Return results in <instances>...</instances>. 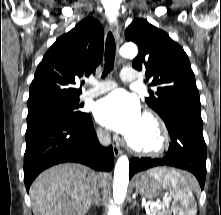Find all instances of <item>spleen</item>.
<instances>
[{"instance_id":"obj_1","label":"spleen","mask_w":221,"mask_h":215,"mask_svg":"<svg viewBox=\"0 0 221 215\" xmlns=\"http://www.w3.org/2000/svg\"><path fill=\"white\" fill-rule=\"evenodd\" d=\"M163 170L157 174V177L163 187L169 190L177 207L178 215H196L197 204L192 193V190L197 186L195 178L186 172Z\"/></svg>"}]
</instances>
